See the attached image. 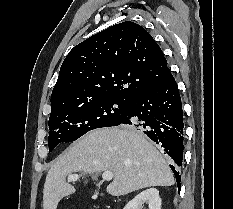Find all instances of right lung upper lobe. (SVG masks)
Here are the masks:
<instances>
[{
	"label": "right lung upper lobe",
	"instance_id": "1",
	"mask_svg": "<svg viewBox=\"0 0 233 209\" xmlns=\"http://www.w3.org/2000/svg\"><path fill=\"white\" fill-rule=\"evenodd\" d=\"M161 48L140 25H113L75 46L65 58L51 95V113L98 100L131 101L170 75Z\"/></svg>",
	"mask_w": 233,
	"mask_h": 209
}]
</instances>
